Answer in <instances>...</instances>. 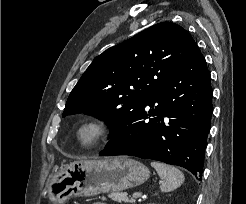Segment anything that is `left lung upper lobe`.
Returning <instances> with one entry per match:
<instances>
[{"label":"left lung upper lobe","mask_w":246,"mask_h":204,"mask_svg":"<svg viewBox=\"0 0 246 204\" xmlns=\"http://www.w3.org/2000/svg\"><path fill=\"white\" fill-rule=\"evenodd\" d=\"M196 47L191 35L175 23L151 26L93 60L70 93L62 116L94 115L109 125L113 137Z\"/></svg>","instance_id":"5c2ea615"}]
</instances>
